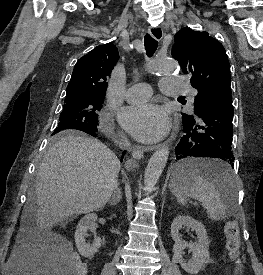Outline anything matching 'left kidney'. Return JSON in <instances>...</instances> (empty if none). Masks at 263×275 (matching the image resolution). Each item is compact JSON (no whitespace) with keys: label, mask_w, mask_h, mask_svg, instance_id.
Segmentation results:
<instances>
[{"label":"left kidney","mask_w":263,"mask_h":275,"mask_svg":"<svg viewBox=\"0 0 263 275\" xmlns=\"http://www.w3.org/2000/svg\"><path fill=\"white\" fill-rule=\"evenodd\" d=\"M183 226L191 228L197 234L198 242L187 243L182 240L179 231ZM171 237L175 244L173 246L174 263H179L180 266L189 274H197L206 264L210 262L209 257V241L204 225L191 218L190 216H177L171 224ZM188 248L192 251V258L186 262L183 259V250Z\"/></svg>","instance_id":"obj_1"}]
</instances>
